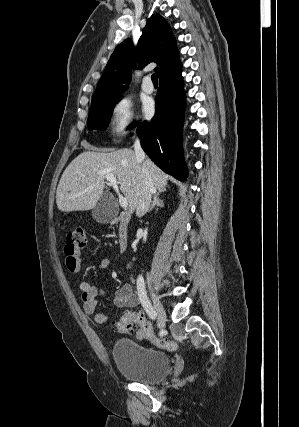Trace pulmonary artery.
<instances>
[{
  "instance_id": "1",
  "label": "pulmonary artery",
  "mask_w": 299,
  "mask_h": 427,
  "mask_svg": "<svg viewBox=\"0 0 299 427\" xmlns=\"http://www.w3.org/2000/svg\"><path fill=\"white\" fill-rule=\"evenodd\" d=\"M142 89L145 93L151 94L154 90V87L151 83V77L145 76L142 82Z\"/></svg>"
}]
</instances>
